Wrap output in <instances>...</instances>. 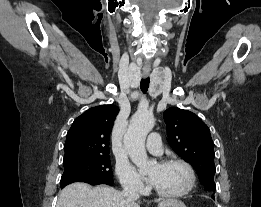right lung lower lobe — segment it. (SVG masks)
I'll return each mask as SVG.
<instances>
[{
    "instance_id": "right-lung-lower-lobe-1",
    "label": "right lung lower lobe",
    "mask_w": 261,
    "mask_h": 207,
    "mask_svg": "<svg viewBox=\"0 0 261 207\" xmlns=\"http://www.w3.org/2000/svg\"><path fill=\"white\" fill-rule=\"evenodd\" d=\"M82 182L88 183L90 185H97V184L112 185L113 179H93V180H84ZM66 185H68V184H66ZM66 185H61V188H64Z\"/></svg>"
}]
</instances>
